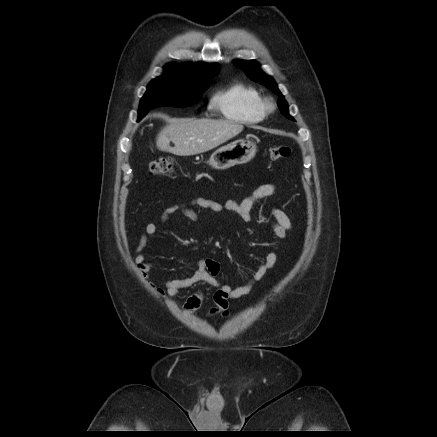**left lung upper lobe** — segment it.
Returning <instances> with one entry per match:
<instances>
[{"instance_id":"1","label":"left lung upper lobe","mask_w":437,"mask_h":437,"mask_svg":"<svg viewBox=\"0 0 437 437\" xmlns=\"http://www.w3.org/2000/svg\"><path fill=\"white\" fill-rule=\"evenodd\" d=\"M234 64L239 68L245 71V73L255 82L265 85L270 90H272L275 94L280 96L277 104L282 112V114L291 120H294L288 113V105L286 100L283 98V95L279 91L275 81L269 75H266L263 71H261L260 66L257 62L253 60L249 61H241L236 60Z\"/></svg>"}]
</instances>
